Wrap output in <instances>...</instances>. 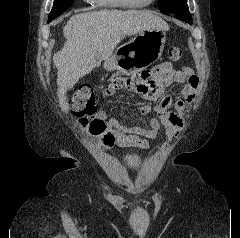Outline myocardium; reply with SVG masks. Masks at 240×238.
Listing matches in <instances>:
<instances>
[{"label": "myocardium", "instance_id": "myocardium-1", "mask_svg": "<svg viewBox=\"0 0 240 238\" xmlns=\"http://www.w3.org/2000/svg\"><path fill=\"white\" fill-rule=\"evenodd\" d=\"M125 7H144L152 4L155 0H148L146 2L130 1V0H119Z\"/></svg>", "mask_w": 240, "mask_h": 238}]
</instances>
